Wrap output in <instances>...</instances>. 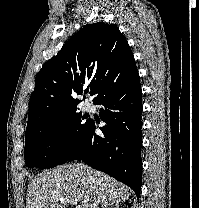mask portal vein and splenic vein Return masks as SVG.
Masks as SVG:
<instances>
[{
  "label": "portal vein and splenic vein",
  "instance_id": "18ae733b",
  "mask_svg": "<svg viewBox=\"0 0 199 208\" xmlns=\"http://www.w3.org/2000/svg\"><path fill=\"white\" fill-rule=\"evenodd\" d=\"M57 200L63 202V203H70V204H77V200L73 199V198H67V197H61V198H57ZM75 208H81L79 205H76Z\"/></svg>",
  "mask_w": 199,
  "mask_h": 208
}]
</instances>
